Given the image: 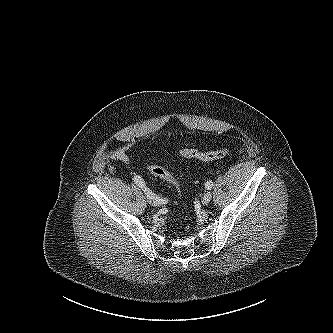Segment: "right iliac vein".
Here are the masks:
<instances>
[{
  "label": "right iliac vein",
  "instance_id": "1",
  "mask_svg": "<svg viewBox=\"0 0 333 333\" xmlns=\"http://www.w3.org/2000/svg\"><path fill=\"white\" fill-rule=\"evenodd\" d=\"M146 198L147 201L152 205V206H159L160 204L155 200V198L149 197L146 193Z\"/></svg>",
  "mask_w": 333,
  "mask_h": 333
}]
</instances>
